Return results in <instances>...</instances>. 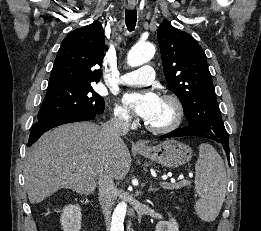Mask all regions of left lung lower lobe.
<instances>
[{"mask_svg":"<svg viewBox=\"0 0 261 231\" xmlns=\"http://www.w3.org/2000/svg\"><path fill=\"white\" fill-rule=\"evenodd\" d=\"M182 136H199V137H205V138H209L206 135H204L203 133H201L200 131H198L195 128L192 127H184V128H179L176 129L168 134L162 135L159 138H168V137H182ZM212 139L214 141H217L219 143L222 144V146L225 149V152L227 154V157L229 159V141L227 138H219V137H212L209 138Z\"/></svg>","mask_w":261,"mask_h":231,"instance_id":"0a47b994","label":"left lung lower lobe"}]
</instances>
